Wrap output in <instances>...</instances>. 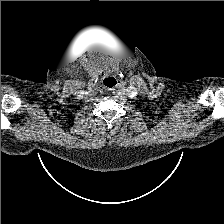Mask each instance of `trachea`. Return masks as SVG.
Segmentation results:
<instances>
[{"mask_svg": "<svg viewBox=\"0 0 224 224\" xmlns=\"http://www.w3.org/2000/svg\"><path fill=\"white\" fill-rule=\"evenodd\" d=\"M107 80H108V81H107ZM104 84H105L106 86H108V87H113V86H115V85L117 84V81H116L115 78L110 77V78H107V79L104 81Z\"/></svg>", "mask_w": 224, "mask_h": 224, "instance_id": "trachea-1", "label": "trachea"}]
</instances>
